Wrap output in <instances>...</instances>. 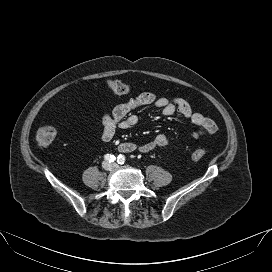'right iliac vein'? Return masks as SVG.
Wrapping results in <instances>:
<instances>
[{
  "mask_svg": "<svg viewBox=\"0 0 272 272\" xmlns=\"http://www.w3.org/2000/svg\"><path fill=\"white\" fill-rule=\"evenodd\" d=\"M103 167H104L105 169H107V170H110V169L112 168V165H111L110 163H108V162H105V163L103 164Z\"/></svg>",
  "mask_w": 272,
  "mask_h": 272,
  "instance_id": "obj_1",
  "label": "right iliac vein"
}]
</instances>
